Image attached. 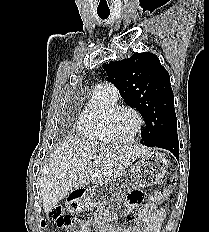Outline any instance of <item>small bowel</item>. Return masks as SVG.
I'll use <instances>...</instances> for the list:
<instances>
[{
    "label": "small bowel",
    "mask_w": 209,
    "mask_h": 232,
    "mask_svg": "<svg viewBox=\"0 0 209 232\" xmlns=\"http://www.w3.org/2000/svg\"><path fill=\"white\" fill-rule=\"evenodd\" d=\"M146 199V190H129V194H126L127 208L125 212L137 213V208L144 205ZM111 217V212L107 211L98 215L92 222L82 221L80 232H92L93 228L97 232H160L166 213L153 203L146 204L138 212V225L132 228L111 227L108 224V219Z\"/></svg>",
    "instance_id": "small-bowel-1"
}]
</instances>
